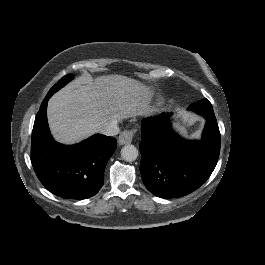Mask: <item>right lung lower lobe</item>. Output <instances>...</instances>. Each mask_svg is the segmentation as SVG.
<instances>
[{
  "label": "right lung lower lobe",
  "mask_w": 265,
  "mask_h": 265,
  "mask_svg": "<svg viewBox=\"0 0 265 265\" xmlns=\"http://www.w3.org/2000/svg\"><path fill=\"white\" fill-rule=\"evenodd\" d=\"M43 100L35 117L31 140V162L43 186L56 196L86 199L104 182L105 166L116 150V139L96 134L79 144L66 146L52 138Z\"/></svg>",
  "instance_id": "right-lung-lower-lobe-1"
}]
</instances>
